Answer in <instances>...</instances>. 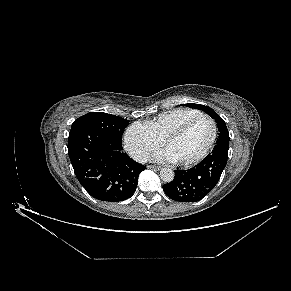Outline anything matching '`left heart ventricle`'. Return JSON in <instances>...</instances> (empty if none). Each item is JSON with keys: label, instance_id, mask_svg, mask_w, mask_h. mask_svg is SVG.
I'll return each mask as SVG.
<instances>
[{"label": "left heart ventricle", "instance_id": "left-heart-ventricle-1", "mask_svg": "<svg viewBox=\"0 0 291 291\" xmlns=\"http://www.w3.org/2000/svg\"><path fill=\"white\" fill-rule=\"evenodd\" d=\"M212 135L209 121L201 119L195 122L180 137L172 140L166 149L176 161H187L199 155L207 146Z\"/></svg>", "mask_w": 291, "mask_h": 291}]
</instances>
